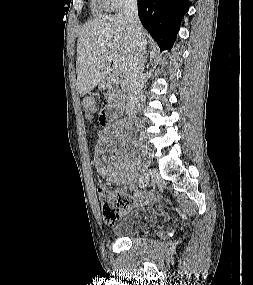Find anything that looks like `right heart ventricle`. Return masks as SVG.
I'll use <instances>...</instances> for the list:
<instances>
[{"label": "right heart ventricle", "instance_id": "1", "mask_svg": "<svg viewBox=\"0 0 253 285\" xmlns=\"http://www.w3.org/2000/svg\"><path fill=\"white\" fill-rule=\"evenodd\" d=\"M108 7L106 6L104 0H96V9L99 12L106 10Z\"/></svg>", "mask_w": 253, "mask_h": 285}]
</instances>
